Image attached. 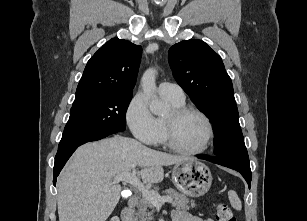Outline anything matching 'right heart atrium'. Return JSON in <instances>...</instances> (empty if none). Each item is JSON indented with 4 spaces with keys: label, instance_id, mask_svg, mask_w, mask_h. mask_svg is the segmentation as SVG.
I'll list each match as a JSON object with an SVG mask.
<instances>
[{
    "label": "right heart atrium",
    "instance_id": "right-heart-atrium-1",
    "mask_svg": "<svg viewBox=\"0 0 307 221\" xmlns=\"http://www.w3.org/2000/svg\"><path fill=\"white\" fill-rule=\"evenodd\" d=\"M126 123L133 135L145 144H155L158 134L156 118L142 93L135 94L125 111Z\"/></svg>",
    "mask_w": 307,
    "mask_h": 221
}]
</instances>
